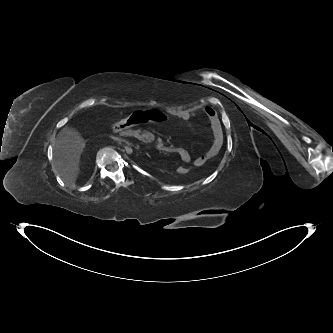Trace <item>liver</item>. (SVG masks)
I'll return each instance as SVG.
<instances>
[{"instance_id": "6515ba94", "label": "liver", "mask_w": 333, "mask_h": 333, "mask_svg": "<svg viewBox=\"0 0 333 333\" xmlns=\"http://www.w3.org/2000/svg\"><path fill=\"white\" fill-rule=\"evenodd\" d=\"M85 145L86 141L81 134L70 127L63 128L55 141L53 165L63 181L71 187L75 186L78 178Z\"/></svg>"}]
</instances>
